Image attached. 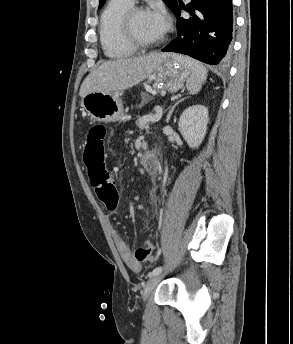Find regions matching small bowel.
<instances>
[{"mask_svg": "<svg viewBox=\"0 0 293 344\" xmlns=\"http://www.w3.org/2000/svg\"><path fill=\"white\" fill-rule=\"evenodd\" d=\"M112 215L113 213L109 214L108 216L109 221H111ZM112 235H113L115 245L122 259L124 260V262L132 271L139 272L142 269L143 262L135 259L127 242L118 231H116L115 229H112Z\"/></svg>", "mask_w": 293, "mask_h": 344, "instance_id": "small-bowel-1", "label": "small bowel"}]
</instances>
